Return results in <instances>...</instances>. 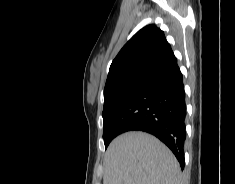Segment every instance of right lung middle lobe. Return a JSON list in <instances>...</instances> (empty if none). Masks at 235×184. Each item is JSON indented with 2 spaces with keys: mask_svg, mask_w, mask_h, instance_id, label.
<instances>
[{
  "mask_svg": "<svg viewBox=\"0 0 235 184\" xmlns=\"http://www.w3.org/2000/svg\"><path fill=\"white\" fill-rule=\"evenodd\" d=\"M143 78L133 77L126 80L122 85L104 93L103 121L104 131L103 139L105 148L117 136L111 132V124L128 93L137 85L141 84Z\"/></svg>",
  "mask_w": 235,
  "mask_h": 184,
  "instance_id": "obj_1",
  "label": "right lung middle lobe"
}]
</instances>
